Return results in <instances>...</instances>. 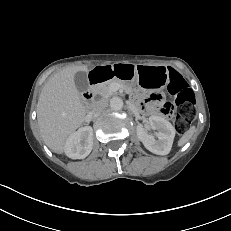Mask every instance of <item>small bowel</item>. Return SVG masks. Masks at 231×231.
Segmentation results:
<instances>
[{
	"mask_svg": "<svg viewBox=\"0 0 231 231\" xmlns=\"http://www.w3.org/2000/svg\"><path fill=\"white\" fill-rule=\"evenodd\" d=\"M155 100H160V97L157 96V97L155 98Z\"/></svg>",
	"mask_w": 231,
	"mask_h": 231,
	"instance_id": "obj_1",
	"label": "small bowel"
}]
</instances>
